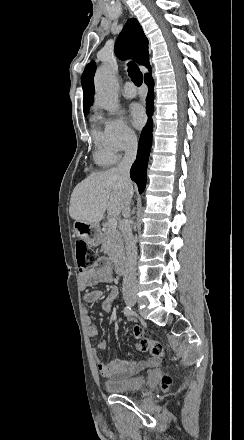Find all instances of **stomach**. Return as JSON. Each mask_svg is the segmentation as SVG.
Segmentation results:
<instances>
[{
    "label": "stomach",
    "mask_w": 244,
    "mask_h": 440,
    "mask_svg": "<svg viewBox=\"0 0 244 440\" xmlns=\"http://www.w3.org/2000/svg\"><path fill=\"white\" fill-rule=\"evenodd\" d=\"M74 234L84 240L90 246H98L100 240V226L99 224H89V222H80L75 220L73 224Z\"/></svg>",
    "instance_id": "1"
}]
</instances>
